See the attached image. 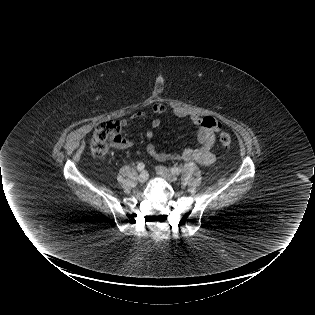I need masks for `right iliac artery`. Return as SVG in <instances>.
Masks as SVG:
<instances>
[{
  "instance_id": "1",
  "label": "right iliac artery",
  "mask_w": 315,
  "mask_h": 315,
  "mask_svg": "<svg viewBox=\"0 0 315 315\" xmlns=\"http://www.w3.org/2000/svg\"><path fill=\"white\" fill-rule=\"evenodd\" d=\"M137 168H138V170L142 171L145 168L144 163H142V162L138 163Z\"/></svg>"
}]
</instances>
